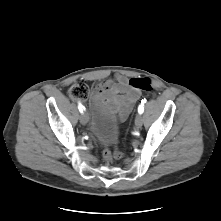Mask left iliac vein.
I'll use <instances>...</instances> for the list:
<instances>
[{
    "instance_id": "4c4485c4",
    "label": "left iliac vein",
    "mask_w": 221,
    "mask_h": 221,
    "mask_svg": "<svg viewBox=\"0 0 221 221\" xmlns=\"http://www.w3.org/2000/svg\"><path fill=\"white\" fill-rule=\"evenodd\" d=\"M142 124H143V117L141 114H138L135 118V127L139 129L141 128Z\"/></svg>"
}]
</instances>
